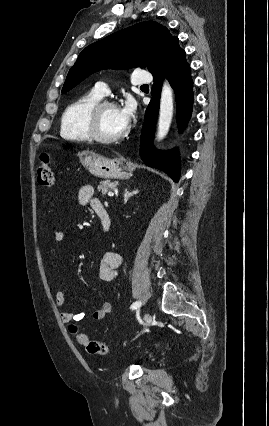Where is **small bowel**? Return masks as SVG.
<instances>
[{
	"label": "small bowel",
	"mask_w": 269,
	"mask_h": 426,
	"mask_svg": "<svg viewBox=\"0 0 269 426\" xmlns=\"http://www.w3.org/2000/svg\"><path fill=\"white\" fill-rule=\"evenodd\" d=\"M94 187L92 185H84L79 189L78 192V203L83 207H89L95 211L96 208L101 207V202L94 196ZM53 238L56 242V246H45L42 254L45 260L50 261L53 265L55 255L59 250V245L64 240V233L61 228H55L53 230ZM123 262L122 256L117 251L106 252L103 257L99 268L100 278L104 281H112L118 275V269ZM46 273L51 274V266L46 265ZM67 289L59 288L55 293V304L58 308L65 305L67 299ZM113 309L112 301H105L100 308L96 309L92 313V318L95 320H103ZM84 313L74 312L69 310H62L60 312V318L63 322H78L84 318Z\"/></svg>",
	"instance_id": "small-bowel-1"
}]
</instances>
